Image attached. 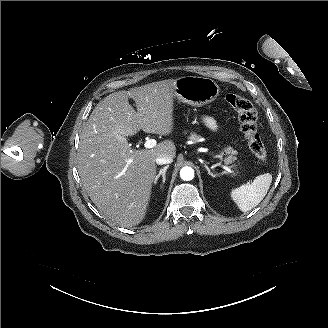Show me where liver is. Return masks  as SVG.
Instances as JSON below:
<instances>
[{
  "instance_id": "1",
  "label": "liver",
  "mask_w": 328,
  "mask_h": 328,
  "mask_svg": "<svg viewBox=\"0 0 328 328\" xmlns=\"http://www.w3.org/2000/svg\"><path fill=\"white\" fill-rule=\"evenodd\" d=\"M176 81L164 80L110 94L91 113L82 134L78 169L95 206L124 228L142 223L148 213L156 159L176 158V144L163 140L148 150H132L128 138L140 130L169 136L175 130ZM137 105L138 113L129 105Z\"/></svg>"
}]
</instances>
